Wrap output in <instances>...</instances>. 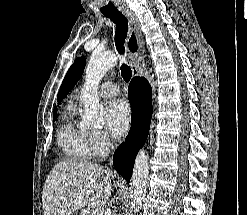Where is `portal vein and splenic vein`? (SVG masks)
Listing matches in <instances>:
<instances>
[{"instance_id":"1","label":"portal vein and splenic vein","mask_w":247,"mask_h":215,"mask_svg":"<svg viewBox=\"0 0 247 215\" xmlns=\"http://www.w3.org/2000/svg\"><path fill=\"white\" fill-rule=\"evenodd\" d=\"M97 215H111V210L108 207L99 208L97 210Z\"/></svg>"}]
</instances>
